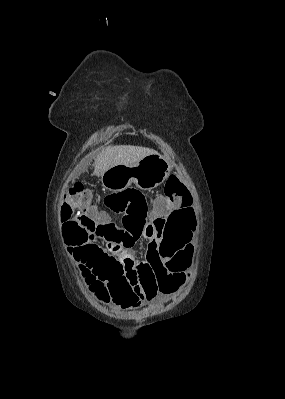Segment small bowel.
<instances>
[{
  "mask_svg": "<svg viewBox=\"0 0 285 399\" xmlns=\"http://www.w3.org/2000/svg\"><path fill=\"white\" fill-rule=\"evenodd\" d=\"M182 200L185 197H181ZM171 212V209L168 208ZM169 212V213H170ZM167 218H165V215L161 213L159 209H153L150 212V220L151 223H149L145 229H144V237L150 241L151 243V248L150 250H155L159 244V241L162 240V236L158 233L157 226L161 222H165ZM195 218L190 219L186 223L180 224V225H174L170 229V237L171 238H176L179 236H185L187 241L184 244L183 247V252L186 260L188 263H191L193 257H194V251H195V229L193 228L195 226ZM75 250L72 246L68 247V251L71 254ZM82 263L80 262L78 266H81ZM120 263L117 260L111 259L107 257L103 261V270L107 273H112L116 275V279L119 283L121 282H130L134 278H136V270L135 268L122 265V270L119 269ZM187 279V274L186 272H177L173 273L169 276H167L165 279H163L160 284H159V291L157 295H160L162 298H168L176 295L180 288L185 284ZM141 294V292H140ZM143 298L139 300L138 303L132 305V306H123L121 303L117 302L112 294L109 293L108 290L105 291V297H102L99 291H94L92 292V295L94 298H96L99 302L110 305L114 304L122 308H134L137 309L141 307L144 303V301H149L153 300L156 296L148 299L145 297V292H142Z\"/></svg>",
  "mask_w": 285,
  "mask_h": 399,
  "instance_id": "obj_1",
  "label": "small bowel"
}]
</instances>
